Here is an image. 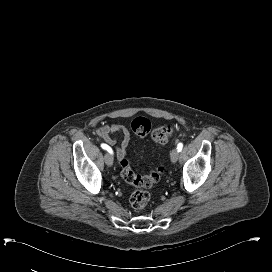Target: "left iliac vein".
Returning <instances> with one entry per match:
<instances>
[{
	"instance_id": "left-iliac-vein-1",
	"label": "left iliac vein",
	"mask_w": 272,
	"mask_h": 272,
	"mask_svg": "<svg viewBox=\"0 0 272 272\" xmlns=\"http://www.w3.org/2000/svg\"><path fill=\"white\" fill-rule=\"evenodd\" d=\"M170 158H171V161L174 162V163L178 160V158H179V152H178L177 149H173L171 151Z\"/></svg>"
}]
</instances>
